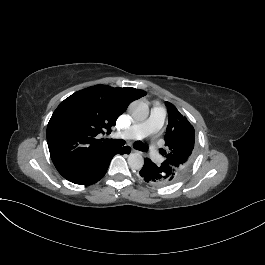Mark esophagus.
<instances>
[{"label": "esophagus", "mask_w": 265, "mask_h": 265, "mask_svg": "<svg viewBox=\"0 0 265 265\" xmlns=\"http://www.w3.org/2000/svg\"><path fill=\"white\" fill-rule=\"evenodd\" d=\"M133 152H137L136 150H132Z\"/></svg>", "instance_id": "34e87169"}]
</instances>
